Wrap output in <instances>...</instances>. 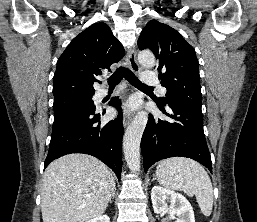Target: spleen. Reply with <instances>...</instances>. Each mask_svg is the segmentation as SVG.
<instances>
[{"label": "spleen", "instance_id": "spleen-1", "mask_svg": "<svg viewBox=\"0 0 257 222\" xmlns=\"http://www.w3.org/2000/svg\"><path fill=\"white\" fill-rule=\"evenodd\" d=\"M155 174L167 189L195 195L203 215H211L213 187L209 175L198 162L184 157L165 159L158 164Z\"/></svg>", "mask_w": 257, "mask_h": 222}]
</instances>
